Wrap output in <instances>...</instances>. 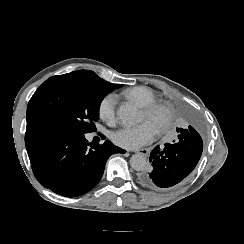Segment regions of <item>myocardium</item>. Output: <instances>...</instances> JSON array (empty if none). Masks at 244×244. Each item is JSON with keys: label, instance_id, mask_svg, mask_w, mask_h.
I'll return each mask as SVG.
<instances>
[{"label": "myocardium", "instance_id": "obj_1", "mask_svg": "<svg viewBox=\"0 0 244 244\" xmlns=\"http://www.w3.org/2000/svg\"><path fill=\"white\" fill-rule=\"evenodd\" d=\"M143 110L145 112H155V111H158V110H162L163 112H165L167 114L168 121L162 128L157 130L159 134H165L172 128V126H173L172 113H171V111L169 109H167L166 107H163L162 104H160V103L149 104L147 106H144Z\"/></svg>", "mask_w": 244, "mask_h": 244}]
</instances>
